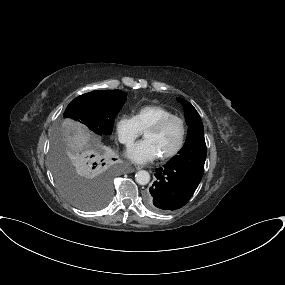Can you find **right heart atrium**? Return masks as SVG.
I'll return each mask as SVG.
<instances>
[{
    "instance_id": "obj_1",
    "label": "right heart atrium",
    "mask_w": 285,
    "mask_h": 285,
    "mask_svg": "<svg viewBox=\"0 0 285 285\" xmlns=\"http://www.w3.org/2000/svg\"><path fill=\"white\" fill-rule=\"evenodd\" d=\"M114 130L120 143L126 147L132 146L141 134L132 116L121 115L114 123Z\"/></svg>"
}]
</instances>
